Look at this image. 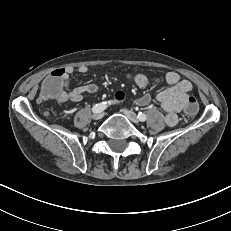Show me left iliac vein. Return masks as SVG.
Listing matches in <instances>:
<instances>
[{
	"label": "left iliac vein",
	"instance_id": "4c4485c4",
	"mask_svg": "<svg viewBox=\"0 0 231 231\" xmlns=\"http://www.w3.org/2000/svg\"><path fill=\"white\" fill-rule=\"evenodd\" d=\"M122 111L131 122L135 124L139 123V118L135 112H133L132 110H128V109H123Z\"/></svg>",
	"mask_w": 231,
	"mask_h": 231
}]
</instances>
